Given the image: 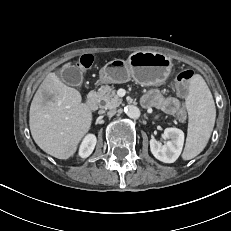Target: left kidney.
<instances>
[{
  "label": "left kidney",
  "instance_id": "left-kidney-1",
  "mask_svg": "<svg viewBox=\"0 0 231 231\" xmlns=\"http://www.w3.org/2000/svg\"><path fill=\"white\" fill-rule=\"evenodd\" d=\"M164 145L158 140H150V150L153 156L164 162L173 163L180 156L184 144V132L178 128H166L164 130Z\"/></svg>",
  "mask_w": 231,
  "mask_h": 231
}]
</instances>
